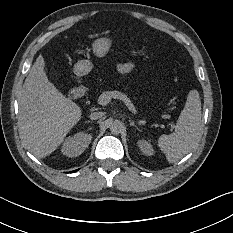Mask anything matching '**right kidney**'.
<instances>
[{"mask_svg":"<svg viewBox=\"0 0 233 233\" xmlns=\"http://www.w3.org/2000/svg\"><path fill=\"white\" fill-rule=\"evenodd\" d=\"M92 138V134L86 131H79L73 136H67L60 146L61 155L69 158L81 155L91 143Z\"/></svg>","mask_w":233,"mask_h":233,"instance_id":"obj_1","label":"right kidney"}]
</instances>
